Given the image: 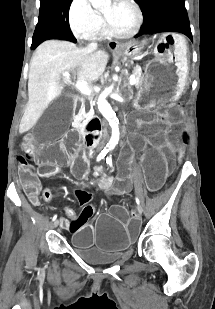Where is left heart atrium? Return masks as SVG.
<instances>
[{"instance_id":"left-heart-atrium-1","label":"left heart atrium","mask_w":215,"mask_h":309,"mask_svg":"<svg viewBox=\"0 0 215 309\" xmlns=\"http://www.w3.org/2000/svg\"><path fill=\"white\" fill-rule=\"evenodd\" d=\"M116 13L115 14H111L110 17H108L106 20H116Z\"/></svg>"}]
</instances>
